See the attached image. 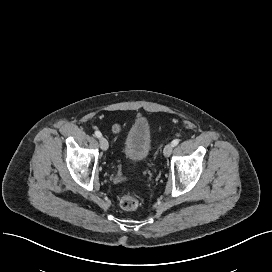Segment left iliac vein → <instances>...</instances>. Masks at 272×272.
I'll list each match as a JSON object with an SVG mask.
<instances>
[{"mask_svg": "<svg viewBox=\"0 0 272 272\" xmlns=\"http://www.w3.org/2000/svg\"><path fill=\"white\" fill-rule=\"evenodd\" d=\"M173 147L174 146L172 145V143H169L164 147L163 154L165 157H169L171 155Z\"/></svg>", "mask_w": 272, "mask_h": 272, "instance_id": "4c4485c4", "label": "left iliac vein"}]
</instances>
